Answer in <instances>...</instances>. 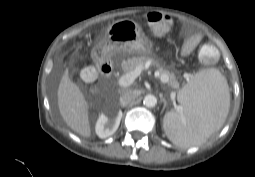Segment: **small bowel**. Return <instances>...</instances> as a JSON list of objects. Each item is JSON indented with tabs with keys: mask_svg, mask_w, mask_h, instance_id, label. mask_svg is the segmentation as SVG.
Instances as JSON below:
<instances>
[{
	"mask_svg": "<svg viewBox=\"0 0 255 177\" xmlns=\"http://www.w3.org/2000/svg\"><path fill=\"white\" fill-rule=\"evenodd\" d=\"M203 39V35L201 33H192L189 34L183 41L181 45V54L183 56H187L196 48V46Z\"/></svg>",
	"mask_w": 255,
	"mask_h": 177,
	"instance_id": "1",
	"label": "small bowel"
}]
</instances>
